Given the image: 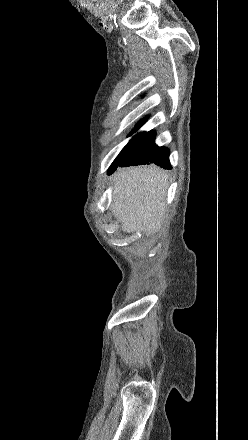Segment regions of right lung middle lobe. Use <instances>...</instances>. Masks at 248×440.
<instances>
[{
	"mask_svg": "<svg viewBox=\"0 0 248 440\" xmlns=\"http://www.w3.org/2000/svg\"><path fill=\"white\" fill-rule=\"evenodd\" d=\"M126 148V147H125ZM125 148L120 152V154L117 156V158L114 160V162L112 163V165L110 166L109 170H108V174L113 173L116 168L121 164V162L123 161V154L125 151Z\"/></svg>",
	"mask_w": 248,
	"mask_h": 440,
	"instance_id": "1",
	"label": "right lung middle lobe"
}]
</instances>
